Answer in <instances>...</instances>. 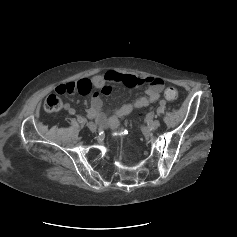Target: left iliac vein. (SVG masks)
<instances>
[{"mask_svg":"<svg viewBox=\"0 0 237 237\" xmlns=\"http://www.w3.org/2000/svg\"><path fill=\"white\" fill-rule=\"evenodd\" d=\"M159 126H160V121L159 120H155V121L151 122V124L149 126V129L150 130H156Z\"/></svg>","mask_w":237,"mask_h":237,"instance_id":"4c4485c4","label":"left iliac vein"}]
</instances>
